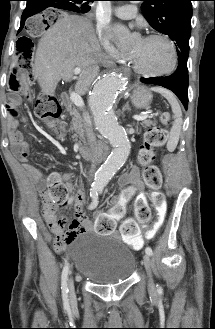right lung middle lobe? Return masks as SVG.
<instances>
[{
	"mask_svg": "<svg viewBox=\"0 0 215 329\" xmlns=\"http://www.w3.org/2000/svg\"><path fill=\"white\" fill-rule=\"evenodd\" d=\"M65 3L74 12L87 13L90 10L87 0H66Z\"/></svg>",
	"mask_w": 215,
	"mask_h": 329,
	"instance_id": "right-lung-middle-lobe-1",
	"label": "right lung middle lobe"
}]
</instances>
